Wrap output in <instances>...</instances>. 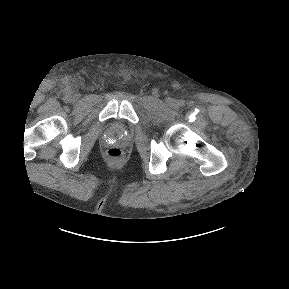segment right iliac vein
Wrapping results in <instances>:
<instances>
[{"mask_svg": "<svg viewBox=\"0 0 289 289\" xmlns=\"http://www.w3.org/2000/svg\"><path fill=\"white\" fill-rule=\"evenodd\" d=\"M72 99H73V100H77V99H78L77 95L73 96Z\"/></svg>", "mask_w": 289, "mask_h": 289, "instance_id": "1", "label": "right iliac vein"}]
</instances>
